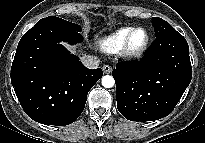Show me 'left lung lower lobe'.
<instances>
[{
  "instance_id": "1",
  "label": "left lung lower lobe",
  "mask_w": 205,
  "mask_h": 143,
  "mask_svg": "<svg viewBox=\"0 0 205 143\" xmlns=\"http://www.w3.org/2000/svg\"><path fill=\"white\" fill-rule=\"evenodd\" d=\"M118 111L131 121L169 115L191 82L189 46L176 30L156 37L145 56L112 71Z\"/></svg>"
}]
</instances>
